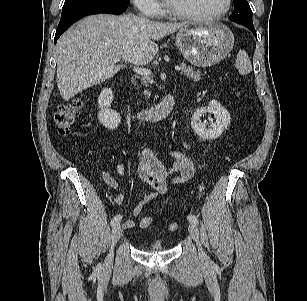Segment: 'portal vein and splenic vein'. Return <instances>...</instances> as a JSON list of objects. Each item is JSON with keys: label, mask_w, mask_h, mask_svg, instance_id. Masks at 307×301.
Returning <instances> with one entry per match:
<instances>
[{"label": "portal vein and splenic vein", "mask_w": 307, "mask_h": 301, "mask_svg": "<svg viewBox=\"0 0 307 301\" xmlns=\"http://www.w3.org/2000/svg\"><path fill=\"white\" fill-rule=\"evenodd\" d=\"M112 63H117L118 62V59H113L111 60ZM182 69L181 66H175V70L176 71H180ZM134 71L137 72L138 74H141V75H145V76H148L151 74V70L150 69H146V68H139V67H134Z\"/></svg>", "instance_id": "18ae733b"}]
</instances>
